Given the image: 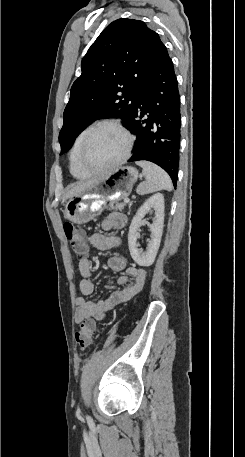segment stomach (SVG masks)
<instances>
[{
	"instance_id": "obj_1",
	"label": "stomach",
	"mask_w": 245,
	"mask_h": 457,
	"mask_svg": "<svg viewBox=\"0 0 245 457\" xmlns=\"http://www.w3.org/2000/svg\"><path fill=\"white\" fill-rule=\"evenodd\" d=\"M138 176L134 166H119L107 172L67 200L64 208L66 218L76 224L96 218L108 202H119L121 198L129 196Z\"/></svg>"
}]
</instances>
